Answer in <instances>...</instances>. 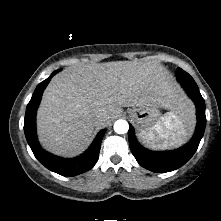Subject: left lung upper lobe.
<instances>
[{"instance_id": "1", "label": "left lung upper lobe", "mask_w": 221, "mask_h": 221, "mask_svg": "<svg viewBox=\"0 0 221 221\" xmlns=\"http://www.w3.org/2000/svg\"><path fill=\"white\" fill-rule=\"evenodd\" d=\"M176 75L177 79L181 83L195 84L194 79L188 73L183 71L181 68H177Z\"/></svg>"}]
</instances>
